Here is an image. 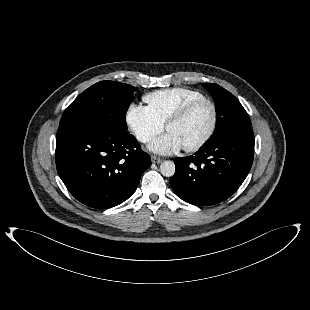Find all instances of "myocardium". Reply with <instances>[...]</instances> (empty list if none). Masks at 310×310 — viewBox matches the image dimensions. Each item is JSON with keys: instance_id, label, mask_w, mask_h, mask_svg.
I'll return each mask as SVG.
<instances>
[{"instance_id": "myocardium-1", "label": "myocardium", "mask_w": 310, "mask_h": 310, "mask_svg": "<svg viewBox=\"0 0 310 310\" xmlns=\"http://www.w3.org/2000/svg\"><path fill=\"white\" fill-rule=\"evenodd\" d=\"M201 104H208L211 109V122L209 125V128L206 132V134L203 136V138L197 142L194 145L183 147L184 151L186 152H196L201 150L206 144L210 141L212 138L216 126H217V119H218V111L216 104L208 98H199L192 100L185 104L176 114H174L165 124V129L168 130V128L172 125H175L182 120H184L196 107H198Z\"/></svg>"}]
</instances>
